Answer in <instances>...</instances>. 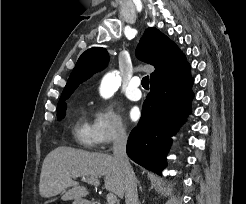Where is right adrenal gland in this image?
I'll return each mask as SVG.
<instances>
[{"label": "right adrenal gland", "instance_id": "2a0ac1e0", "mask_svg": "<svg viewBox=\"0 0 246 204\" xmlns=\"http://www.w3.org/2000/svg\"><path fill=\"white\" fill-rule=\"evenodd\" d=\"M137 183H138V185H139L140 191L142 192V187H141L140 182H139L138 180H137Z\"/></svg>", "mask_w": 246, "mask_h": 204}]
</instances>
